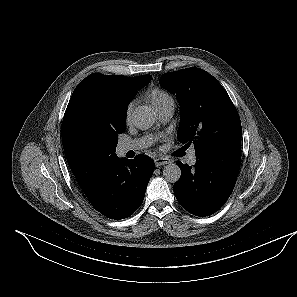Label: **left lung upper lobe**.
I'll return each instance as SVG.
<instances>
[{"mask_svg":"<svg viewBox=\"0 0 297 297\" xmlns=\"http://www.w3.org/2000/svg\"><path fill=\"white\" fill-rule=\"evenodd\" d=\"M161 87L176 94L180 103L178 140L196 155L210 152L232 141L241 140L238 112L223 86L200 68L165 73Z\"/></svg>","mask_w":297,"mask_h":297,"instance_id":"obj_1","label":"left lung upper lobe"}]
</instances>
